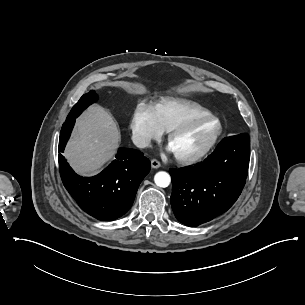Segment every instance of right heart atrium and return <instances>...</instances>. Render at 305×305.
Wrapping results in <instances>:
<instances>
[{"label": "right heart atrium", "mask_w": 305, "mask_h": 305, "mask_svg": "<svg viewBox=\"0 0 305 305\" xmlns=\"http://www.w3.org/2000/svg\"><path fill=\"white\" fill-rule=\"evenodd\" d=\"M133 141L141 148L151 147L154 141L161 138V129L155 109L145 103L139 104L130 121Z\"/></svg>", "instance_id": "obj_1"}]
</instances>
